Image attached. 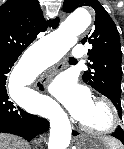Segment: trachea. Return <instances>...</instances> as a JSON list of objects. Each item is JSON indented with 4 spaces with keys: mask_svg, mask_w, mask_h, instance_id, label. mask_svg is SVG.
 <instances>
[{
    "mask_svg": "<svg viewBox=\"0 0 124 149\" xmlns=\"http://www.w3.org/2000/svg\"><path fill=\"white\" fill-rule=\"evenodd\" d=\"M70 60H75V58H73V57H70Z\"/></svg>",
    "mask_w": 124,
    "mask_h": 149,
    "instance_id": "obj_1",
    "label": "trachea"
}]
</instances>
